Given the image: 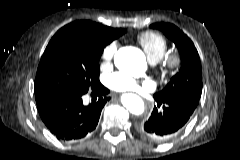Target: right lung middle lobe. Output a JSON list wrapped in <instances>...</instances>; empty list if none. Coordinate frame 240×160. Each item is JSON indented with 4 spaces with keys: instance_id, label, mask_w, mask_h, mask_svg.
<instances>
[{
    "instance_id": "dd1d6c3e",
    "label": "right lung middle lobe",
    "mask_w": 240,
    "mask_h": 160,
    "mask_svg": "<svg viewBox=\"0 0 240 160\" xmlns=\"http://www.w3.org/2000/svg\"><path fill=\"white\" fill-rule=\"evenodd\" d=\"M122 29L111 40H93L84 33L67 26L50 40L40 60L35 95L49 91L68 94H85L99 86V59L104 47L123 35Z\"/></svg>"
}]
</instances>
